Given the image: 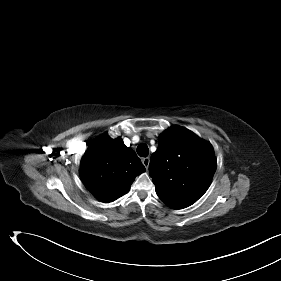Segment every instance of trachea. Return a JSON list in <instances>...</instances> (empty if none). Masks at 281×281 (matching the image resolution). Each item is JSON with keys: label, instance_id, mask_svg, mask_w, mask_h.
Segmentation results:
<instances>
[{"label": "trachea", "instance_id": "trachea-1", "mask_svg": "<svg viewBox=\"0 0 281 281\" xmlns=\"http://www.w3.org/2000/svg\"><path fill=\"white\" fill-rule=\"evenodd\" d=\"M137 153L141 157H147L149 153L148 146L145 143H141L137 147Z\"/></svg>", "mask_w": 281, "mask_h": 281}]
</instances>
